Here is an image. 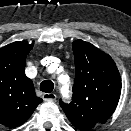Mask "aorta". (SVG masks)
<instances>
[{"label":"aorta","instance_id":"762f6f07","mask_svg":"<svg viewBox=\"0 0 131 131\" xmlns=\"http://www.w3.org/2000/svg\"><path fill=\"white\" fill-rule=\"evenodd\" d=\"M62 94H63L64 97H68V94H69V86H68V84H63Z\"/></svg>","mask_w":131,"mask_h":131}]
</instances>
